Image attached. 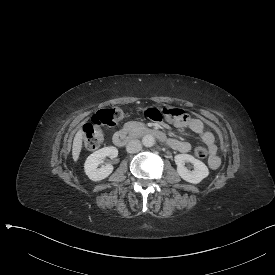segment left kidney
<instances>
[{
  "mask_svg": "<svg viewBox=\"0 0 275 275\" xmlns=\"http://www.w3.org/2000/svg\"><path fill=\"white\" fill-rule=\"evenodd\" d=\"M177 165V172L187 182L197 184L209 175L207 166L200 160L195 159L189 154H178L174 158ZM190 162L194 165V170L190 171L185 167V163Z\"/></svg>",
  "mask_w": 275,
  "mask_h": 275,
  "instance_id": "left-kidney-1",
  "label": "left kidney"
}]
</instances>
